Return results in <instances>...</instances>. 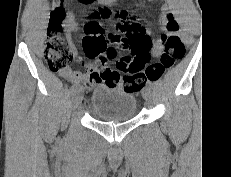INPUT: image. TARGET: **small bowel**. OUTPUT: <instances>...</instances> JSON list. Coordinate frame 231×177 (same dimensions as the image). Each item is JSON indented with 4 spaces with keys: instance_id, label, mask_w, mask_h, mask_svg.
<instances>
[{
    "instance_id": "obj_1",
    "label": "small bowel",
    "mask_w": 231,
    "mask_h": 177,
    "mask_svg": "<svg viewBox=\"0 0 231 177\" xmlns=\"http://www.w3.org/2000/svg\"><path fill=\"white\" fill-rule=\"evenodd\" d=\"M105 6H108L115 0H99ZM155 1V0H149ZM55 11H58L62 15L61 26H64L66 29L70 31L77 32L78 26L75 22L73 13L69 9H64L62 6L58 7ZM166 8H163V13L160 16V22L162 25L166 24L167 14L165 13ZM135 23L139 24L142 28H144L145 32L150 35V31L148 28L144 27L141 21L137 20ZM163 49V40L162 38H157L154 40L152 44L151 54L154 57H157L161 54ZM78 62H80L83 67L87 70L85 74H81L70 69H66L61 71V75L68 80L74 82L75 85L80 86L83 89H90L95 85L106 84L108 86H114V84L110 83L109 80L102 74L103 68L96 61H86L80 56H76Z\"/></svg>"
}]
</instances>
